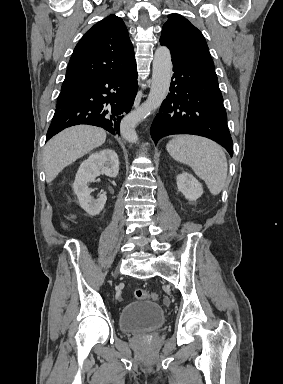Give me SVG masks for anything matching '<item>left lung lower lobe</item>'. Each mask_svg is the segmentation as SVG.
Instances as JSON below:
<instances>
[{
    "mask_svg": "<svg viewBox=\"0 0 283 384\" xmlns=\"http://www.w3.org/2000/svg\"><path fill=\"white\" fill-rule=\"evenodd\" d=\"M172 63L170 93L152 123V139L157 143L171 134L204 136L232 156L233 142L215 71L175 58Z\"/></svg>",
    "mask_w": 283,
    "mask_h": 384,
    "instance_id": "obj_1",
    "label": "left lung lower lobe"
}]
</instances>
